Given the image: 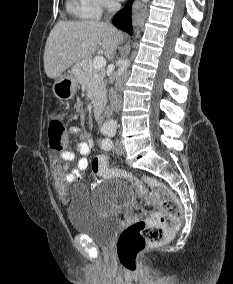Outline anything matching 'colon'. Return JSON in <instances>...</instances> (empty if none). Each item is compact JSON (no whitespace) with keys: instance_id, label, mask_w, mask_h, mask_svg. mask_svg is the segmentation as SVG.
I'll list each match as a JSON object with an SVG mask.
<instances>
[{"instance_id":"1","label":"colon","mask_w":233,"mask_h":284,"mask_svg":"<svg viewBox=\"0 0 233 284\" xmlns=\"http://www.w3.org/2000/svg\"><path fill=\"white\" fill-rule=\"evenodd\" d=\"M48 139L50 147L56 151H62L66 145V129L57 117L49 120ZM91 169L102 179H123L147 201L155 199L158 202L159 211L150 220L132 223L119 236L117 242L119 261L127 271H135L139 254L148 245L165 242L179 226L182 216L181 204L172 190L160 180L149 176L138 178L113 166L106 156H96L92 160Z\"/></svg>"}]
</instances>
